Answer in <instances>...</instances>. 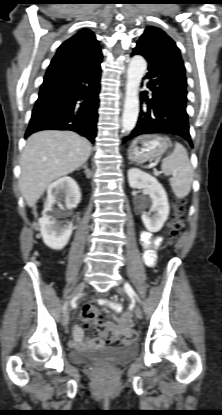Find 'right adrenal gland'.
Segmentation results:
<instances>
[{
	"instance_id": "2a0ac1e0",
	"label": "right adrenal gland",
	"mask_w": 222,
	"mask_h": 415,
	"mask_svg": "<svg viewBox=\"0 0 222 415\" xmlns=\"http://www.w3.org/2000/svg\"><path fill=\"white\" fill-rule=\"evenodd\" d=\"M82 168H84V169H85V173H86V174H87V176H88V174H89V169L87 168V164L83 165V166H82Z\"/></svg>"
}]
</instances>
